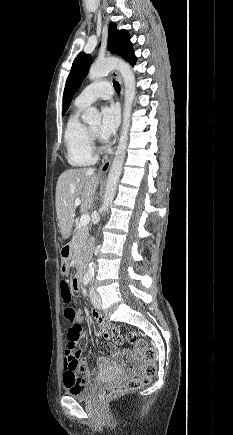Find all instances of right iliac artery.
<instances>
[{"label": "right iliac artery", "instance_id": "right-iliac-artery-1", "mask_svg": "<svg viewBox=\"0 0 233 435\" xmlns=\"http://www.w3.org/2000/svg\"><path fill=\"white\" fill-rule=\"evenodd\" d=\"M90 281H91L90 278H86V279H84L83 283H84V285H87Z\"/></svg>", "mask_w": 233, "mask_h": 435}]
</instances>
